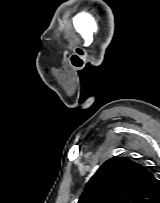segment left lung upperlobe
Returning <instances> with one entry per match:
<instances>
[{
	"label": "left lung upper lobe",
	"mask_w": 160,
	"mask_h": 203,
	"mask_svg": "<svg viewBox=\"0 0 160 203\" xmlns=\"http://www.w3.org/2000/svg\"><path fill=\"white\" fill-rule=\"evenodd\" d=\"M158 179L127 157L107 160L87 183L78 203H156Z\"/></svg>",
	"instance_id": "obj_1"
}]
</instances>
